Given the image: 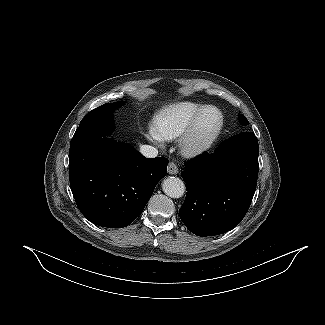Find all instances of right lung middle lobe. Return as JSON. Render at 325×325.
Returning a JSON list of instances; mask_svg holds the SVG:
<instances>
[{
  "label": "right lung middle lobe",
  "instance_id": "1",
  "mask_svg": "<svg viewBox=\"0 0 325 325\" xmlns=\"http://www.w3.org/2000/svg\"><path fill=\"white\" fill-rule=\"evenodd\" d=\"M123 103H106L90 111L80 122L75 134L106 136L112 132V113Z\"/></svg>",
  "mask_w": 325,
  "mask_h": 325
}]
</instances>
